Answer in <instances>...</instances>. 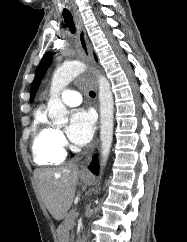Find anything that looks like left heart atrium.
<instances>
[{
  "label": "left heart atrium",
  "mask_w": 187,
  "mask_h": 242,
  "mask_svg": "<svg viewBox=\"0 0 187 242\" xmlns=\"http://www.w3.org/2000/svg\"><path fill=\"white\" fill-rule=\"evenodd\" d=\"M95 116L91 110L77 108L71 112L67 136L76 145H85L94 132Z\"/></svg>",
  "instance_id": "1"
}]
</instances>
